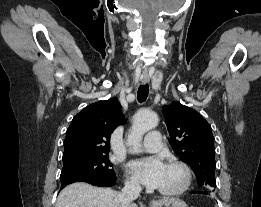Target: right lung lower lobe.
I'll use <instances>...</instances> for the list:
<instances>
[{"label":"right lung lower lobe","mask_w":261,"mask_h":207,"mask_svg":"<svg viewBox=\"0 0 261 207\" xmlns=\"http://www.w3.org/2000/svg\"><path fill=\"white\" fill-rule=\"evenodd\" d=\"M87 182L95 186H106L110 187L113 186L116 182L115 176H85V177H76L69 180H65L61 182V189H63L68 184L74 182Z\"/></svg>","instance_id":"obj_1"}]
</instances>
